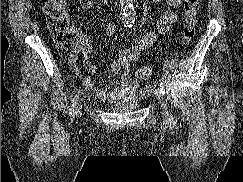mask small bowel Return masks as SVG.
<instances>
[{
  "label": "small bowel",
  "mask_w": 243,
  "mask_h": 182,
  "mask_svg": "<svg viewBox=\"0 0 243 182\" xmlns=\"http://www.w3.org/2000/svg\"><path fill=\"white\" fill-rule=\"evenodd\" d=\"M153 1L155 3L165 2L169 7V9L162 14L158 22L159 32L162 34L167 33L176 21L174 9L180 6L182 0ZM90 7L91 3L87 5V8ZM106 31L109 35H113L116 31V24L108 25ZM155 40V33L147 31L143 35L135 38L128 47L120 50L118 57L110 63L112 71L121 74L119 84L114 88H107L98 87L95 83L93 76L96 74V68L90 60L92 45L90 39L86 35L81 34L78 39L77 50L81 52L84 68L89 73V75L84 77L82 80L84 88L88 91L94 92L100 100L111 103L137 94L139 92L140 85L137 79H132L131 64L136 62L141 52L147 50ZM69 64L75 74L81 77L82 72L78 67L76 60H69Z\"/></svg>",
  "instance_id": "1"
}]
</instances>
